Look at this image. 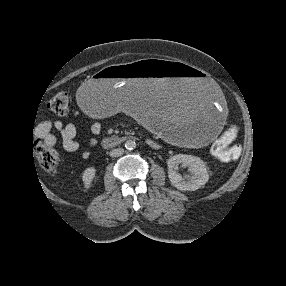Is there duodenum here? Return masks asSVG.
<instances>
[{"mask_svg":"<svg viewBox=\"0 0 286 286\" xmlns=\"http://www.w3.org/2000/svg\"><path fill=\"white\" fill-rule=\"evenodd\" d=\"M126 140V137H108L102 142V145L106 148L116 147L121 145Z\"/></svg>","mask_w":286,"mask_h":286,"instance_id":"obj_1","label":"duodenum"}]
</instances>
